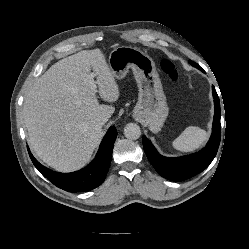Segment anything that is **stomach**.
I'll list each match as a JSON object with an SVG mask.
<instances>
[{
	"label": "stomach",
	"mask_w": 249,
	"mask_h": 249,
	"mask_svg": "<svg viewBox=\"0 0 249 249\" xmlns=\"http://www.w3.org/2000/svg\"><path fill=\"white\" fill-rule=\"evenodd\" d=\"M108 65L116 79L124 78L129 68L132 69L139 88L134 117L152 132L160 131L169 108L152 58L137 48L120 46L110 53Z\"/></svg>",
	"instance_id": "0dacf381"
}]
</instances>
